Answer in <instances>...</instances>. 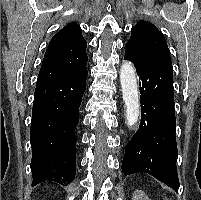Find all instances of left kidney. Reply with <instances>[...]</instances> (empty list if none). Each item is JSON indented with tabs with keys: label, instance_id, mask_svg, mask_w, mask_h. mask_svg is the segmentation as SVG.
I'll use <instances>...</instances> for the list:
<instances>
[{
	"label": "left kidney",
	"instance_id": "obj_1",
	"mask_svg": "<svg viewBox=\"0 0 201 200\" xmlns=\"http://www.w3.org/2000/svg\"><path fill=\"white\" fill-rule=\"evenodd\" d=\"M132 200H151L147 195L141 190H135L133 193Z\"/></svg>",
	"mask_w": 201,
	"mask_h": 200
}]
</instances>
